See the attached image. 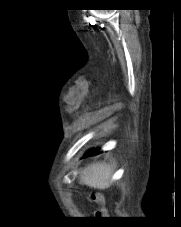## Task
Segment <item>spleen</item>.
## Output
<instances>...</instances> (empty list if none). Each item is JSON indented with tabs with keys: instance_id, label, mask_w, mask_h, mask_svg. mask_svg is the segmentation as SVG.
<instances>
[{
	"instance_id": "3e777b00",
	"label": "spleen",
	"mask_w": 181,
	"mask_h": 227,
	"mask_svg": "<svg viewBox=\"0 0 181 227\" xmlns=\"http://www.w3.org/2000/svg\"><path fill=\"white\" fill-rule=\"evenodd\" d=\"M113 171L109 165L97 163L85 168L80 175V184L97 189L109 187L108 181Z\"/></svg>"
}]
</instances>
